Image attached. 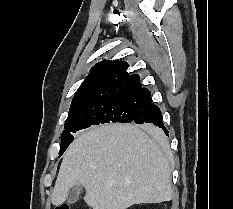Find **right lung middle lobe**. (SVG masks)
Masks as SVG:
<instances>
[{
  "instance_id": "dd1d6c3e",
  "label": "right lung middle lobe",
  "mask_w": 233,
  "mask_h": 209,
  "mask_svg": "<svg viewBox=\"0 0 233 209\" xmlns=\"http://www.w3.org/2000/svg\"><path fill=\"white\" fill-rule=\"evenodd\" d=\"M145 106L140 103L102 101L70 109L64 126L65 130L61 136L59 157L74 140L73 133L100 123L133 122ZM142 128L147 129L148 127L143 126Z\"/></svg>"
}]
</instances>
